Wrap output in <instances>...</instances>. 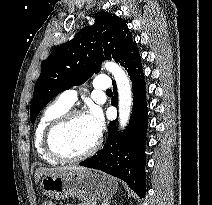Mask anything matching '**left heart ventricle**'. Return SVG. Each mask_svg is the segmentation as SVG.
I'll use <instances>...</instances> for the list:
<instances>
[{
    "label": "left heart ventricle",
    "instance_id": "left-heart-ventricle-1",
    "mask_svg": "<svg viewBox=\"0 0 212 205\" xmlns=\"http://www.w3.org/2000/svg\"><path fill=\"white\" fill-rule=\"evenodd\" d=\"M97 137L84 116L73 118L58 134V149L65 155L76 156L89 149Z\"/></svg>",
    "mask_w": 212,
    "mask_h": 205
}]
</instances>
